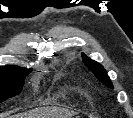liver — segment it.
Segmentation results:
<instances>
[{"label": "liver", "instance_id": "obj_1", "mask_svg": "<svg viewBox=\"0 0 133 118\" xmlns=\"http://www.w3.org/2000/svg\"><path fill=\"white\" fill-rule=\"evenodd\" d=\"M75 112L57 108H38L27 113L15 115L13 118H70Z\"/></svg>", "mask_w": 133, "mask_h": 118}]
</instances>
